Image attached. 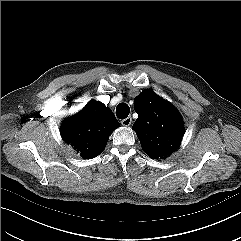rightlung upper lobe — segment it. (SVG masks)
I'll use <instances>...</instances> for the list:
<instances>
[{
	"mask_svg": "<svg viewBox=\"0 0 241 241\" xmlns=\"http://www.w3.org/2000/svg\"><path fill=\"white\" fill-rule=\"evenodd\" d=\"M118 126L119 122L108 107L90 101L79 113L63 121L61 135L83 158L89 159L101 154Z\"/></svg>",
	"mask_w": 241,
	"mask_h": 241,
	"instance_id": "obj_1",
	"label": "right lung upper lobe"
}]
</instances>
